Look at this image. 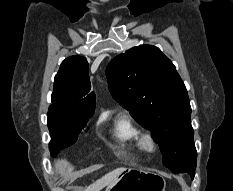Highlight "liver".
Masks as SVG:
<instances>
[{"label":"liver","mask_w":233,"mask_h":191,"mask_svg":"<svg viewBox=\"0 0 233 191\" xmlns=\"http://www.w3.org/2000/svg\"><path fill=\"white\" fill-rule=\"evenodd\" d=\"M124 170L125 168H117L105 174L102 178L88 186L84 191H101L104 187L111 185L117 180Z\"/></svg>","instance_id":"1"}]
</instances>
